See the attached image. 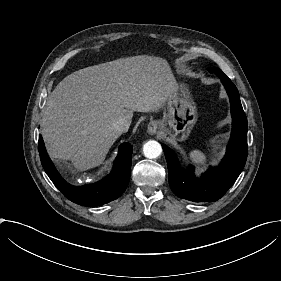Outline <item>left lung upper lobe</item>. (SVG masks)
Listing matches in <instances>:
<instances>
[{"mask_svg": "<svg viewBox=\"0 0 281 281\" xmlns=\"http://www.w3.org/2000/svg\"><path fill=\"white\" fill-rule=\"evenodd\" d=\"M209 71H210L211 73H215L216 75L223 74L222 70L219 69V68H216V67L210 68Z\"/></svg>", "mask_w": 281, "mask_h": 281, "instance_id": "obj_1", "label": "left lung upper lobe"}]
</instances>
